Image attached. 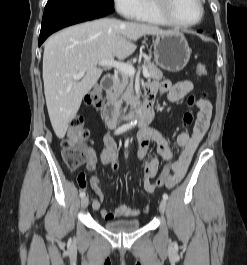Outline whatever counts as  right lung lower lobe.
<instances>
[{"mask_svg":"<svg viewBox=\"0 0 247 265\" xmlns=\"http://www.w3.org/2000/svg\"><path fill=\"white\" fill-rule=\"evenodd\" d=\"M112 5L101 0H49L43 14L39 46L59 29L112 13Z\"/></svg>","mask_w":247,"mask_h":265,"instance_id":"obj_1","label":"right lung lower lobe"}]
</instances>
